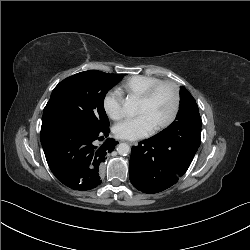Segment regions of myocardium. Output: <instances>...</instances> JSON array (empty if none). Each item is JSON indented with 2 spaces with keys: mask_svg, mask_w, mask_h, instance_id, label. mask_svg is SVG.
Returning a JSON list of instances; mask_svg holds the SVG:
<instances>
[{
  "mask_svg": "<svg viewBox=\"0 0 250 250\" xmlns=\"http://www.w3.org/2000/svg\"><path fill=\"white\" fill-rule=\"evenodd\" d=\"M164 86H167L172 90L174 104H173L172 112H171L170 116L167 118V120H165L163 123H161L153 128V131L156 133L167 129L176 120L177 115H178L179 110H180V103H181L179 87L172 81L164 80V81H160V82L152 85L141 96L138 97L139 101L148 102L153 98V96L156 94V92Z\"/></svg>",
  "mask_w": 250,
  "mask_h": 250,
  "instance_id": "1",
  "label": "myocardium"
}]
</instances>
